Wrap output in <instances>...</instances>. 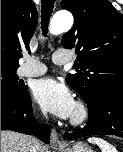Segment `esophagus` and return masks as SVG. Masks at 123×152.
<instances>
[{"instance_id": "obj_1", "label": "esophagus", "mask_w": 123, "mask_h": 152, "mask_svg": "<svg viewBox=\"0 0 123 152\" xmlns=\"http://www.w3.org/2000/svg\"><path fill=\"white\" fill-rule=\"evenodd\" d=\"M50 143L53 147H60L62 145V143L59 139V135L55 129L51 130Z\"/></svg>"}]
</instances>
